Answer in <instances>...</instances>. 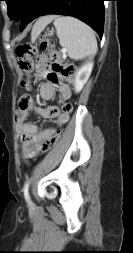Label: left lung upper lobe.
Here are the masks:
<instances>
[{"mask_svg":"<svg viewBox=\"0 0 133 253\" xmlns=\"http://www.w3.org/2000/svg\"><path fill=\"white\" fill-rule=\"evenodd\" d=\"M8 6V15L14 20H21L24 14L22 10V3L29 2L30 0H4Z\"/></svg>","mask_w":133,"mask_h":253,"instance_id":"1","label":"left lung upper lobe"}]
</instances>
